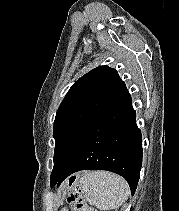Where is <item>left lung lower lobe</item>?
I'll list each match as a JSON object with an SVG mask.
<instances>
[{
	"mask_svg": "<svg viewBox=\"0 0 179 211\" xmlns=\"http://www.w3.org/2000/svg\"><path fill=\"white\" fill-rule=\"evenodd\" d=\"M141 166V132L136 125L131 96L125 87L99 116L64 172L51 176V186H59L77 171L107 170L123 176L133 195Z\"/></svg>",
	"mask_w": 179,
	"mask_h": 211,
	"instance_id": "1",
	"label": "left lung lower lobe"
}]
</instances>
